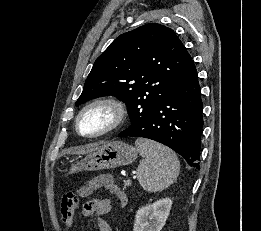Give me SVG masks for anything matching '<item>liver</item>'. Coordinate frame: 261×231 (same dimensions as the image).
Instances as JSON below:
<instances>
[{"instance_id":"6515ba94","label":"liver","mask_w":261,"mask_h":231,"mask_svg":"<svg viewBox=\"0 0 261 231\" xmlns=\"http://www.w3.org/2000/svg\"><path fill=\"white\" fill-rule=\"evenodd\" d=\"M103 146H101V147H103ZM101 147L98 144H91V145H88V146H85V147H81L78 150L71 152V154H77V155L87 154V153H91L93 151H96Z\"/></svg>"}]
</instances>
